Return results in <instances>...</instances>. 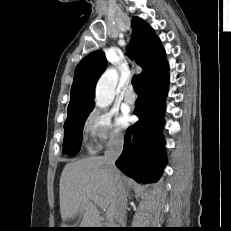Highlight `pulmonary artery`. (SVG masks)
<instances>
[{
	"label": "pulmonary artery",
	"instance_id": "obj_1",
	"mask_svg": "<svg viewBox=\"0 0 231 231\" xmlns=\"http://www.w3.org/2000/svg\"><path fill=\"white\" fill-rule=\"evenodd\" d=\"M136 100V96L132 90V87H128L126 92L124 93V101L128 104L134 103Z\"/></svg>",
	"mask_w": 231,
	"mask_h": 231
}]
</instances>
